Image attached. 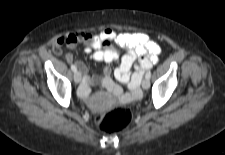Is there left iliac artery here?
Wrapping results in <instances>:
<instances>
[{
  "instance_id": "obj_1",
  "label": "left iliac artery",
  "mask_w": 225,
  "mask_h": 155,
  "mask_svg": "<svg viewBox=\"0 0 225 155\" xmlns=\"http://www.w3.org/2000/svg\"><path fill=\"white\" fill-rule=\"evenodd\" d=\"M145 77L148 78V79H150V77H151V72L148 71V72L146 73Z\"/></svg>"
}]
</instances>
